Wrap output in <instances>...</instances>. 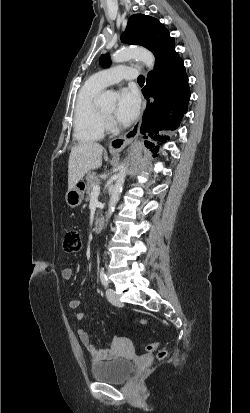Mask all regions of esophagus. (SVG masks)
I'll return each instance as SVG.
<instances>
[{"label": "esophagus", "mask_w": 250, "mask_h": 413, "mask_svg": "<svg viewBox=\"0 0 250 413\" xmlns=\"http://www.w3.org/2000/svg\"><path fill=\"white\" fill-rule=\"evenodd\" d=\"M145 103L142 105V110L139 118L133 125V127L127 131L123 136L119 138L113 139L110 144H109V151L112 153H119L121 152L133 139L136 138V136L139 133L141 122H142V116L143 112L145 109Z\"/></svg>", "instance_id": "obj_1"}]
</instances>
